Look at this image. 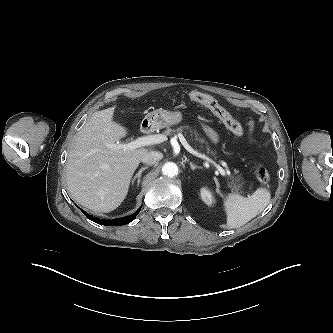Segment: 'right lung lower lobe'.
<instances>
[{
  "label": "right lung lower lobe",
  "instance_id": "1",
  "mask_svg": "<svg viewBox=\"0 0 333 333\" xmlns=\"http://www.w3.org/2000/svg\"><path fill=\"white\" fill-rule=\"evenodd\" d=\"M141 208H139L136 212H134L132 215L127 216V217H122V218H117V219H112V220H103V219H98L96 217H93L92 215H89L88 213H86L85 211L81 210L84 215L90 219L93 222H96L98 224L101 225H107V226H121L124 224H128L131 221H133L135 219V217L137 216V214L139 213Z\"/></svg>",
  "mask_w": 333,
  "mask_h": 333
}]
</instances>
